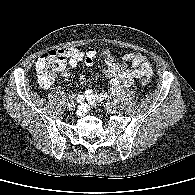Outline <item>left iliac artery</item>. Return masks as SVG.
<instances>
[{"label": "left iliac artery", "mask_w": 195, "mask_h": 195, "mask_svg": "<svg viewBox=\"0 0 195 195\" xmlns=\"http://www.w3.org/2000/svg\"><path fill=\"white\" fill-rule=\"evenodd\" d=\"M113 102H114V103H118L119 101H118V99L115 98V99L113 100Z\"/></svg>", "instance_id": "obj_1"}]
</instances>
